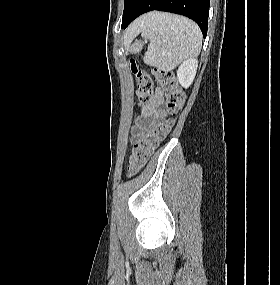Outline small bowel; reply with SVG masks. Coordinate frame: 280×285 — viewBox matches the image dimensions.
I'll return each instance as SVG.
<instances>
[{
	"label": "small bowel",
	"instance_id": "small-bowel-1",
	"mask_svg": "<svg viewBox=\"0 0 280 285\" xmlns=\"http://www.w3.org/2000/svg\"><path fill=\"white\" fill-rule=\"evenodd\" d=\"M163 104L164 99L162 94L160 91H156L149 103L143 106L133 126L132 140L134 142L146 133L157 119L164 115Z\"/></svg>",
	"mask_w": 280,
	"mask_h": 285
}]
</instances>
